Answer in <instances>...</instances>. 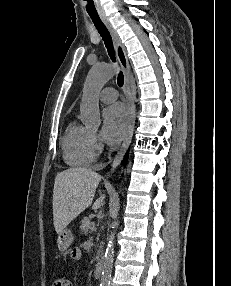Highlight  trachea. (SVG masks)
<instances>
[{
	"label": "trachea",
	"instance_id": "1",
	"mask_svg": "<svg viewBox=\"0 0 231 286\" xmlns=\"http://www.w3.org/2000/svg\"><path fill=\"white\" fill-rule=\"evenodd\" d=\"M89 16L91 17L96 29L100 33L101 37L103 38L104 44L107 48L108 54L113 62H116L115 58V53H114V47L112 43V38L110 36V33L108 32L107 28L105 25L102 23L100 20L98 14H90ZM117 83L119 87H122L124 84V76L123 73L120 71L117 77Z\"/></svg>",
	"mask_w": 231,
	"mask_h": 286
}]
</instances>
